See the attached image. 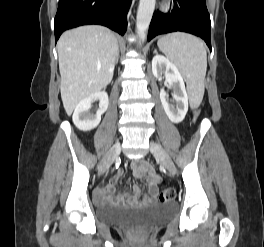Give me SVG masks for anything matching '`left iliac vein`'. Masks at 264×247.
I'll return each instance as SVG.
<instances>
[{"label": "left iliac vein", "instance_id": "1", "mask_svg": "<svg viewBox=\"0 0 264 247\" xmlns=\"http://www.w3.org/2000/svg\"><path fill=\"white\" fill-rule=\"evenodd\" d=\"M150 151L156 159H159L162 165L167 169L171 175L176 174V167L169 154L162 148L161 145L151 142Z\"/></svg>", "mask_w": 264, "mask_h": 247}]
</instances>
